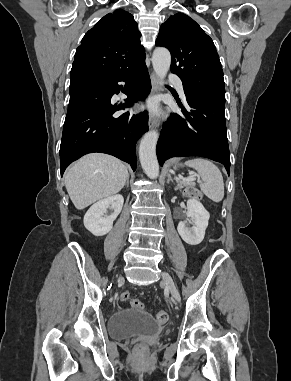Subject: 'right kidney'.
<instances>
[{"label": "right kidney", "instance_id": "ca27d5eb", "mask_svg": "<svg viewBox=\"0 0 291 381\" xmlns=\"http://www.w3.org/2000/svg\"><path fill=\"white\" fill-rule=\"evenodd\" d=\"M123 196L120 194L102 199L93 204L84 216V226L95 236H103L111 231L113 221L117 218L123 207ZM113 213L107 216V210Z\"/></svg>", "mask_w": 291, "mask_h": 381}]
</instances>
